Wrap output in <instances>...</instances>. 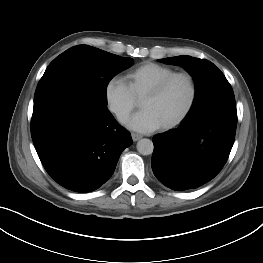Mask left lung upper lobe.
<instances>
[{
	"label": "left lung upper lobe",
	"mask_w": 263,
	"mask_h": 263,
	"mask_svg": "<svg viewBox=\"0 0 263 263\" xmlns=\"http://www.w3.org/2000/svg\"><path fill=\"white\" fill-rule=\"evenodd\" d=\"M160 61L180 65L194 77L196 93L189 113L203 108L213 100L235 98L232 87L224 74L208 60L191 56H177Z\"/></svg>",
	"instance_id": "left-lung-upper-lobe-1"
}]
</instances>
